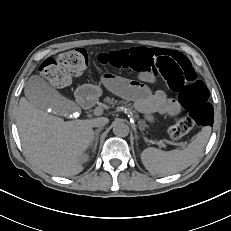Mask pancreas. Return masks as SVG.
Listing matches in <instances>:
<instances>
[{
  "label": "pancreas",
  "instance_id": "obj_1",
  "mask_svg": "<svg viewBox=\"0 0 231 231\" xmlns=\"http://www.w3.org/2000/svg\"><path fill=\"white\" fill-rule=\"evenodd\" d=\"M104 102L110 107H122L126 108L129 112L134 113V117L138 120V126L141 130H148L149 126L146 124L145 120L139 118V114L133 109L131 103L120 101L115 98L105 97Z\"/></svg>",
  "mask_w": 231,
  "mask_h": 231
}]
</instances>
